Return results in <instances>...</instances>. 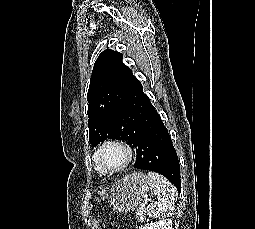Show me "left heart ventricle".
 <instances>
[{"instance_id":"obj_1","label":"left heart ventricle","mask_w":255,"mask_h":229,"mask_svg":"<svg viewBox=\"0 0 255 229\" xmlns=\"http://www.w3.org/2000/svg\"><path fill=\"white\" fill-rule=\"evenodd\" d=\"M102 162L106 166L114 167L120 165L125 159L124 151L115 146L107 147L101 154Z\"/></svg>"}]
</instances>
